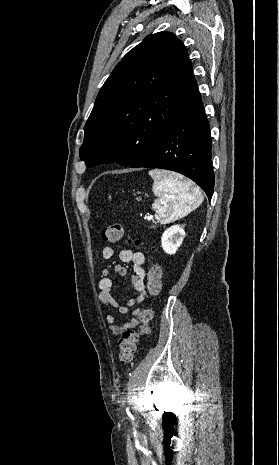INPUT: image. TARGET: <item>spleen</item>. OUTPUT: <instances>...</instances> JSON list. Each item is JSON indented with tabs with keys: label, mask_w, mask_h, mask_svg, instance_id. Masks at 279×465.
<instances>
[{
	"label": "spleen",
	"mask_w": 279,
	"mask_h": 465,
	"mask_svg": "<svg viewBox=\"0 0 279 465\" xmlns=\"http://www.w3.org/2000/svg\"><path fill=\"white\" fill-rule=\"evenodd\" d=\"M149 175L154 179L152 189L157 199L152 208L157 210V222L167 224L182 218L203 202L202 192L192 181L158 169L151 170Z\"/></svg>",
	"instance_id": "3e777b00"
}]
</instances>
